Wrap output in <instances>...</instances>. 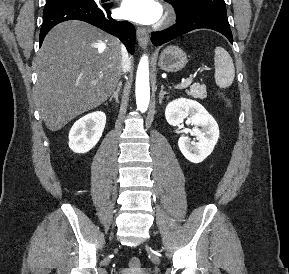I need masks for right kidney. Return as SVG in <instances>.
<instances>
[{"instance_id": "right-kidney-1", "label": "right kidney", "mask_w": 289, "mask_h": 274, "mask_svg": "<svg viewBox=\"0 0 289 274\" xmlns=\"http://www.w3.org/2000/svg\"><path fill=\"white\" fill-rule=\"evenodd\" d=\"M106 124L104 112L89 113L72 126L69 132V147L75 153L89 152L100 140Z\"/></svg>"}]
</instances>
